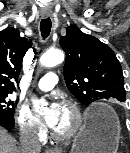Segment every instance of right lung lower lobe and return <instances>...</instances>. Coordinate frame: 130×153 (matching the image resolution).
<instances>
[{
	"instance_id": "1",
	"label": "right lung lower lobe",
	"mask_w": 130,
	"mask_h": 153,
	"mask_svg": "<svg viewBox=\"0 0 130 153\" xmlns=\"http://www.w3.org/2000/svg\"><path fill=\"white\" fill-rule=\"evenodd\" d=\"M15 122H11L4 117L0 116V126L4 127L8 131H11L14 128Z\"/></svg>"
}]
</instances>
